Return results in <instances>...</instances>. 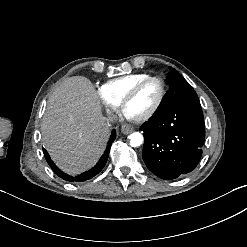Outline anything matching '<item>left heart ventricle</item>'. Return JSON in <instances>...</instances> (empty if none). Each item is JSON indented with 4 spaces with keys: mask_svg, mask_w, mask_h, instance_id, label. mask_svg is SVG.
Instances as JSON below:
<instances>
[{
    "mask_svg": "<svg viewBox=\"0 0 247 247\" xmlns=\"http://www.w3.org/2000/svg\"><path fill=\"white\" fill-rule=\"evenodd\" d=\"M161 88L158 82H146L138 91L136 97L126 105L125 109L130 111L136 118H140L150 112L157 104Z\"/></svg>",
    "mask_w": 247,
    "mask_h": 247,
    "instance_id": "b2bd125f",
    "label": "left heart ventricle"
}]
</instances>
